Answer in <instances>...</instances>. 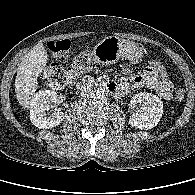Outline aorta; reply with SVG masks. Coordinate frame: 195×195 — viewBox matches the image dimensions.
<instances>
[{"instance_id": "1", "label": "aorta", "mask_w": 195, "mask_h": 195, "mask_svg": "<svg viewBox=\"0 0 195 195\" xmlns=\"http://www.w3.org/2000/svg\"><path fill=\"white\" fill-rule=\"evenodd\" d=\"M105 94H106L105 89H97V90H96V93H95V96H96L98 99H102V98H104Z\"/></svg>"}]
</instances>
